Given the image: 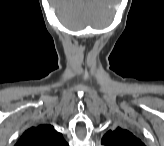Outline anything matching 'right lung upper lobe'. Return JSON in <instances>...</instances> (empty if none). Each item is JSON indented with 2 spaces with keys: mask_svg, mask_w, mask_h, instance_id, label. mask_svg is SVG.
<instances>
[{
  "mask_svg": "<svg viewBox=\"0 0 164 146\" xmlns=\"http://www.w3.org/2000/svg\"><path fill=\"white\" fill-rule=\"evenodd\" d=\"M62 135L51 125L31 127L21 136L16 146H66Z\"/></svg>",
  "mask_w": 164,
  "mask_h": 146,
  "instance_id": "right-lung-upper-lobe-1",
  "label": "right lung upper lobe"
}]
</instances>
